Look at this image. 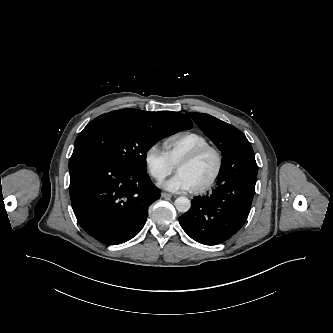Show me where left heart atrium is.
I'll return each instance as SVG.
<instances>
[{
	"mask_svg": "<svg viewBox=\"0 0 333 333\" xmlns=\"http://www.w3.org/2000/svg\"><path fill=\"white\" fill-rule=\"evenodd\" d=\"M162 186L172 192H186L194 189L190 180L182 173H177L168 181L164 182Z\"/></svg>",
	"mask_w": 333,
	"mask_h": 333,
	"instance_id": "39dd6f15",
	"label": "left heart atrium"
}]
</instances>
